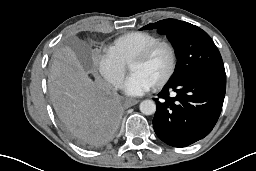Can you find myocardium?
Returning <instances> with one entry per match:
<instances>
[{
  "mask_svg": "<svg viewBox=\"0 0 256 171\" xmlns=\"http://www.w3.org/2000/svg\"><path fill=\"white\" fill-rule=\"evenodd\" d=\"M160 47H165L168 49L170 54V66L167 73L164 75V77L154 85L155 88H162L163 86H165L175 74V71L177 68V52L173 44L166 40H158L150 44L146 48H144L142 51H140L132 59L130 63L131 65L133 63H142L147 61L154 54V52Z\"/></svg>",
  "mask_w": 256,
  "mask_h": 171,
  "instance_id": "obj_1",
  "label": "myocardium"
}]
</instances>
